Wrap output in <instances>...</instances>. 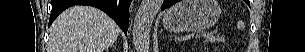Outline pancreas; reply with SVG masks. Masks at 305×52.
<instances>
[{
	"mask_svg": "<svg viewBox=\"0 0 305 52\" xmlns=\"http://www.w3.org/2000/svg\"><path fill=\"white\" fill-rule=\"evenodd\" d=\"M206 41L207 42H210V43H222L224 42V37L220 36V35H210L206 38Z\"/></svg>",
	"mask_w": 305,
	"mask_h": 52,
	"instance_id": "obj_1",
	"label": "pancreas"
}]
</instances>
